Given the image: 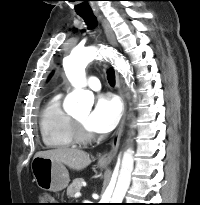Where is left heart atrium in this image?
<instances>
[{
    "mask_svg": "<svg viewBox=\"0 0 200 205\" xmlns=\"http://www.w3.org/2000/svg\"><path fill=\"white\" fill-rule=\"evenodd\" d=\"M121 115V106L111 95H101L86 119L90 132L104 134L115 128Z\"/></svg>",
    "mask_w": 200,
    "mask_h": 205,
    "instance_id": "left-heart-atrium-1",
    "label": "left heart atrium"
}]
</instances>
